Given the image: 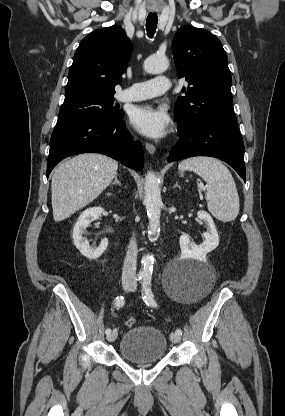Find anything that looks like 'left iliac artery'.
<instances>
[{
  "mask_svg": "<svg viewBox=\"0 0 285 416\" xmlns=\"http://www.w3.org/2000/svg\"><path fill=\"white\" fill-rule=\"evenodd\" d=\"M142 287L144 291L143 300L146 303V305L151 306V307H156L157 304L154 301V295L151 290V275L150 274L143 275ZM175 334L182 335L181 329H176Z\"/></svg>",
  "mask_w": 285,
  "mask_h": 416,
  "instance_id": "1",
  "label": "left iliac artery"
}]
</instances>
